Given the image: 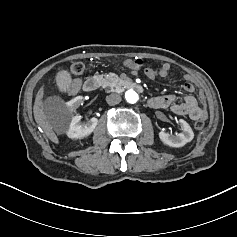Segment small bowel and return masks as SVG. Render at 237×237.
<instances>
[{"label":"small bowel","instance_id":"obj_1","mask_svg":"<svg viewBox=\"0 0 237 237\" xmlns=\"http://www.w3.org/2000/svg\"><path fill=\"white\" fill-rule=\"evenodd\" d=\"M125 66L130 69L138 70L133 66L132 60L125 61ZM170 64L163 63L158 69V75L160 77H167L170 71ZM184 78L186 82L183 85L185 95H161L151 98L148 101L150 107L155 109H170L177 115H187L192 120H205L208 116L206 98L201 93L199 100L192 95L194 91V77L190 73H185ZM80 89V81L78 79L73 80L67 87V92L71 95L76 94Z\"/></svg>","mask_w":237,"mask_h":237}]
</instances>
